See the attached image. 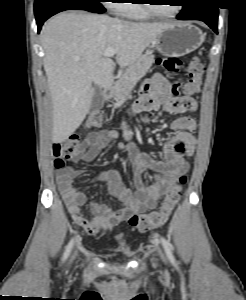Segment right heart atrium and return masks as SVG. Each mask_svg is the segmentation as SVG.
I'll use <instances>...</instances> for the list:
<instances>
[{"label": "right heart atrium", "instance_id": "right-heart-atrium-1", "mask_svg": "<svg viewBox=\"0 0 246 300\" xmlns=\"http://www.w3.org/2000/svg\"><path fill=\"white\" fill-rule=\"evenodd\" d=\"M108 1H109L108 2L109 7L116 11L119 4H121V3H118V2H120L122 0H108Z\"/></svg>", "mask_w": 246, "mask_h": 300}]
</instances>
